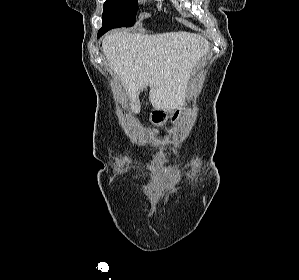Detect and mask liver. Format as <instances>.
Wrapping results in <instances>:
<instances>
[{"label": "liver", "mask_w": 299, "mask_h": 280, "mask_svg": "<svg viewBox=\"0 0 299 280\" xmlns=\"http://www.w3.org/2000/svg\"><path fill=\"white\" fill-rule=\"evenodd\" d=\"M209 46L202 36L187 32H114L104 36L102 52L126 89L132 112L138 114L139 93L147 86L155 109L171 112L183 106L190 74Z\"/></svg>", "instance_id": "liver-1"}]
</instances>
